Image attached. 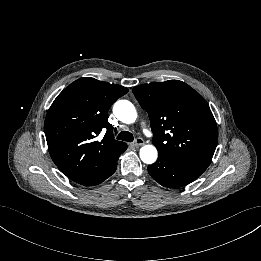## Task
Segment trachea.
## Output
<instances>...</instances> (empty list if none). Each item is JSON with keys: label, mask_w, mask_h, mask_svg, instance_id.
<instances>
[{"label": "trachea", "mask_w": 261, "mask_h": 261, "mask_svg": "<svg viewBox=\"0 0 261 261\" xmlns=\"http://www.w3.org/2000/svg\"><path fill=\"white\" fill-rule=\"evenodd\" d=\"M117 139L132 142L134 140L133 134L129 131H122L118 134Z\"/></svg>", "instance_id": "3493384b"}]
</instances>
